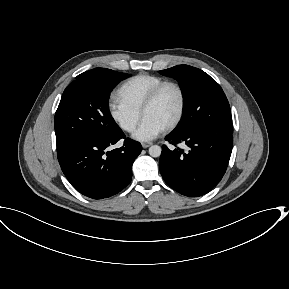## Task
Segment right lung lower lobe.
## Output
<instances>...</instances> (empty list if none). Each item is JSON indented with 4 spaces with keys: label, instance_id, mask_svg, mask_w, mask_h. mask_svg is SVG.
Listing matches in <instances>:
<instances>
[{
    "label": "right lung lower lobe",
    "instance_id": "98d812e1",
    "mask_svg": "<svg viewBox=\"0 0 289 289\" xmlns=\"http://www.w3.org/2000/svg\"><path fill=\"white\" fill-rule=\"evenodd\" d=\"M120 139L121 148L108 151ZM141 144L125 138L119 128L113 134L81 143L58 154L61 169L81 194L92 199L113 196L124 189L132 179V164L141 153Z\"/></svg>",
    "mask_w": 289,
    "mask_h": 289
}]
</instances>
